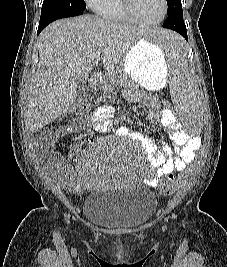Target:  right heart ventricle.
Listing matches in <instances>:
<instances>
[{
    "label": "right heart ventricle",
    "mask_w": 227,
    "mask_h": 267,
    "mask_svg": "<svg viewBox=\"0 0 227 267\" xmlns=\"http://www.w3.org/2000/svg\"><path fill=\"white\" fill-rule=\"evenodd\" d=\"M104 18L122 23H135L123 10L121 0H109L107 5L99 12Z\"/></svg>",
    "instance_id": "obj_1"
}]
</instances>
